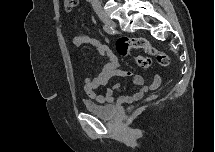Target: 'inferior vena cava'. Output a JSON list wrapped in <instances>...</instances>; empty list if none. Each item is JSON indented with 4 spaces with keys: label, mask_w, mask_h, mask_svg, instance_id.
I'll list each match as a JSON object with an SVG mask.
<instances>
[{
    "label": "inferior vena cava",
    "mask_w": 215,
    "mask_h": 152,
    "mask_svg": "<svg viewBox=\"0 0 215 152\" xmlns=\"http://www.w3.org/2000/svg\"><path fill=\"white\" fill-rule=\"evenodd\" d=\"M96 3L100 2V0H94Z\"/></svg>",
    "instance_id": "1"
}]
</instances>
